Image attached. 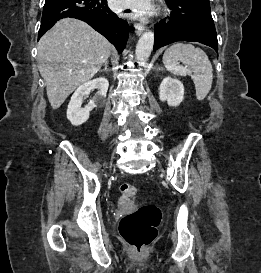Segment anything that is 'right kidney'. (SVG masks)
<instances>
[{"label": "right kidney", "mask_w": 261, "mask_h": 273, "mask_svg": "<svg viewBox=\"0 0 261 273\" xmlns=\"http://www.w3.org/2000/svg\"><path fill=\"white\" fill-rule=\"evenodd\" d=\"M109 82L104 77H99L88 81L77 88L71 97L67 109V118L74 126H79L89 118L90 111L97 107L98 103H103L107 94ZM97 89L95 97L82 108L83 98Z\"/></svg>", "instance_id": "ca27d5eb"}]
</instances>
